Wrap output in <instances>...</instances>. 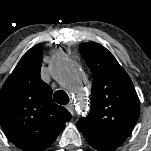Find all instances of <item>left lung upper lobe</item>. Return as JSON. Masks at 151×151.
Returning a JSON list of instances; mask_svg holds the SVG:
<instances>
[{
	"instance_id": "obj_1",
	"label": "left lung upper lobe",
	"mask_w": 151,
	"mask_h": 151,
	"mask_svg": "<svg viewBox=\"0 0 151 151\" xmlns=\"http://www.w3.org/2000/svg\"><path fill=\"white\" fill-rule=\"evenodd\" d=\"M79 52L93 74L91 109L77 122L84 137L125 140L139 118L133 83L112 53L98 43H82Z\"/></svg>"
}]
</instances>
